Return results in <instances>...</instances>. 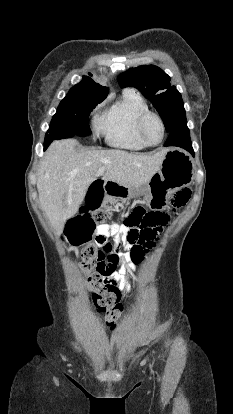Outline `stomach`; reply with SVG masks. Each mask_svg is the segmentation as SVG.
<instances>
[{"label": "stomach", "mask_w": 233, "mask_h": 414, "mask_svg": "<svg viewBox=\"0 0 233 414\" xmlns=\"http://www.w3.org/2000/svg\"><path fill=\"white\" fill-rule=\"evenodd\" d=\"M192 158L180 149H169L158 172H153L151 180L144 187L127 188L117 183L114 195L126 199L145 195L151 207H162L170 196L180 188L187 186L193 179Z\"/></svg>", "instance_id": "obj_1"}]
</instances>
